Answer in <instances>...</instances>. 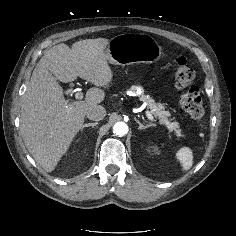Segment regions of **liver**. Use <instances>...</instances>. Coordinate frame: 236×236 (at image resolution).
Segmentation results:
<instances>
[{"instance_id": "obj_1", "label": "liver", "mask_w": 236, "mask_h": 236, "mask_svg": "<svg viewBox=\"0 0 236 236\" xmlns=\"http://www.w3.org/2000/svg\"><path fill=\"white\" fill-rule=\"evenodd\" d=\"M105 38L85 39L70 48L58 44L37 63L21 104L20 129L28 151L46 171L52 172L82 128L89 107L105 98L100 88H90L84 101H68L57 80L68 83L80 77L97 87H107L113 72L107 63Z\"/></svg>"}]
</instances>
